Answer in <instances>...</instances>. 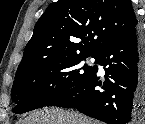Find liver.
<instances>
[{"instance_id":"6515ba94","label":"liver","mask_w":145,"mask_h":124,"mask_svg":"<svg viewBox=\"0 0 145 124\" xmlns=\"http://www.w3.org/2000/svg\"><path fill=\"white\" fill-rule=\"evenodd\" d=\"M19 124H96L87 117L63 109H44L29 115Z\"/></svg>"}]
</instances>
